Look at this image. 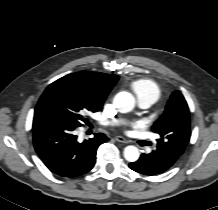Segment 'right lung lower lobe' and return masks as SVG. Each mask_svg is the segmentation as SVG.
Instances as JSON below:
<instances>
[{
  "label": "right lung lower lobe",
  "instance_id": "right-lung-lower-lobe-1",
  "mask_svg": "<svg viewBox=\"0 0 218 210\" xmlns=\"http://www.w3.org/2000/svg\"><path fill=\"white\" fill-rule=\"evenodd\" d=\"M69 121L52 116L33 119V144L46 167L53 173L73 178L90 171L96 161L98 147L107 140L103 133L82 143L77 141Z\"/></svg>",
  "mask_w": 218,
  "mask_h": 210
}]
</instances>
